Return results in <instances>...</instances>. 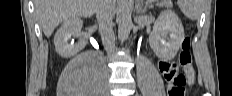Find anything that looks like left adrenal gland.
I'll use <instances>...</instances> for the list:
<instances>
[{
  "instance_id": "1",
  "label": "left adrenal gland",
  "mask_w": 232,
  "mask_h": 96,
  "mask_svg": "<svg viewBox=\"0 0 232 96\" xmlns=\"http://www.w3.org/2000/svg\"><path fill=\"white\" fill-rule=\"evenodd\" d=\"M146 9H147V5H145L143 9L141 8L140 11H139V13L140 14L144 13L146 11Z\"/></svg>"
}]
</instances>
